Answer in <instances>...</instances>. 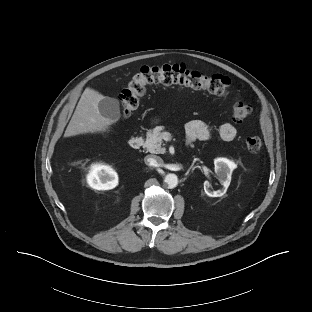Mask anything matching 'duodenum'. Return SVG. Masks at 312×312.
<instances>
[{
  "label": "duodenum",
  "instance_id": "410a0bca",
  "mask_svg": "<svg viewBox=\"0 0 312 312\" xmlns=\"http://www.w3.org/2000/svg\"><path fill=\"white\" fill-rule=\"evenodd\" d=\"M128 144L132 149H139L143 144V139L140 136H132L129 139Z\"/></svg>",
  "mask_w": 312,
  "mask_h": 312
}]
</instances>
